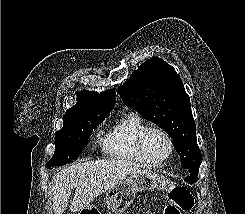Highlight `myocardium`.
<instances>
[{
  "label": "myocardium",
  "mask_w": 245,
  "mask_h": 214,
  "mask_svg": "<svg viewBox=\"0 0 245 214\" xmlns=\"http://www.w3.org/2000/svg\"><path fill=\"white\" fill-rule=\"evenodd\" d=\"M152 132H157L159 134H161L162 136H164V138L166 139L167 141V144H168V148H169V151H168V154L160 159V160H152L148 157L147 155V152H146V139L148 137V135ZM138 150L142 156V158L146 161V163L148 165H151V166H159V165H162L164 164L165 162H167L173 155L174 153V144H173V140L171 138V136L168 134V132H166L164 129L162 128H159V127H147L145 128L139 135L138 137Z\"/></svg>",
  "instance_id": "f54148a6"
}]
</instances>
